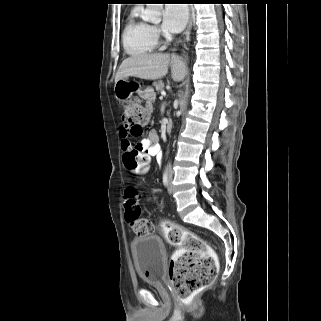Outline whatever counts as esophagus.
I'll return each instance as SVG.
<instances>
[{"label":"esophagus","mask_w":321,"mask_h":321,"mask_svg":"<svg viewBox=\"0 0 321 321\" xmlns=\"http://www.w3.org/2000/svg\"><path fill=\"white\" fill-rule=\"evenodd\" d=\"M192 21H193V7L189 6V21L185 31V40L188 41L190 38L191 30H192Z\"/></svg>","instance_id":"34e87169"}]
</instances>
